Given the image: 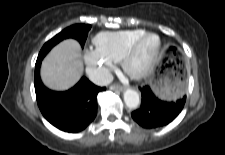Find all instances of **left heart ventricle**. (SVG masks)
Returning <instances> with one entry per match:
<instances>
[{
	"label": "left heart ventricle",
	"mask_w": 225,
	"mask_h": 155,
	"mask_svg": "<svg viewBox=\"0 0 225 155\" xmlns=\"http://www.w3.org/2000/svg\"><path fill=\"white\" fill-rule=\"evenodd\" d=\"M157 44L155 37L147 38L140 47L137 59L134 63L135 67H139L152 54Z\"/></svg>",
	"instance_id": "obj_1"
}]
</instances>
